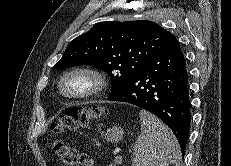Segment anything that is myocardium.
I'll return each instance as SVG.
<instances>
[{
	"mask_svg": "<svg viewBox=\"0 0 231 166\" xmlns=\"http://www.w3.org/2000/svg\"><path fill=\"white\" fill-rule=\"evenodd\" d=\"M81 77L86 80V87L80 90H69L66 83L71 78ZM108 81L106 75L93 66L79 65L67 69L58 79L57 88L59 94L72 100L86 99L102 93L107 87Z\"/></svg>",
	"mask_w": 231,
	"mask_h": 166,
	"instance_id": "f54148a6",
	"label": "myocardium"
}]
</instances>
